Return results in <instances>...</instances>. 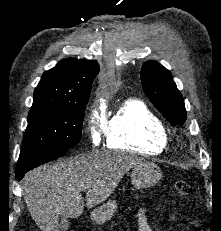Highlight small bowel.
Instances as JSON below:
<instances>
[{"label": "small bowel", "instance_id": "c3829d8e", "mask_svg": "<svg viewBox=\"0 0 221 231\" xmlns=\"http://www.w3.org/2000/svg\"><path fill=\"white\" fill-rule=\"evenodd\" d=\"M138 231H153L148 223V210L142 208L138 213Z\"/></svg>", "mask_w": 221, "mask_h": 231}]
</instances>
